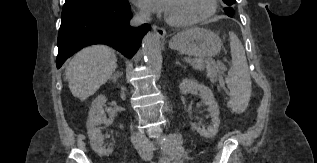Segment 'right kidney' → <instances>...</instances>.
Listing matches in <instances>:
<instances>
[{"instance_id": "ca27d5eb", "label": "right kidney", "mask_w": 317, "mask_h": 163, "mask_svg": "<svg viewBox=\"0 0 317 163\" xmlns=\"http://www.w3.org/2000/svg\"><path fill=\"white\" fill-rule=\"evenodd\" d=\"M106 101L107 99L104 95H98L92 103L87 120L90 145L99 156H108L113 152L112 147L104 146V137L101 134V129L99 128L101 124L106 123L107 121L106 114L103 109Z\"/></svg>"}]
</instances>
